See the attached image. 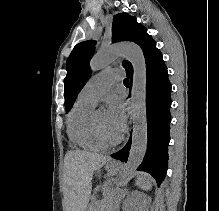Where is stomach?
<instances>
[{"mask_svg": "<svg viewBox=\"0 0 219 211\" xmlns=\"http://www.w3.org/2000/svg\"><path fill=\"white\" fill-rule=\"evenodd\" d=\"M105 167L110 173H116L120 170V164L114 161L108 162Z\"/></svg>", "mask_w": 219, "mask_h": 211, "instance_id": "0dacf381", "label": "stomach"}]
</instances>
